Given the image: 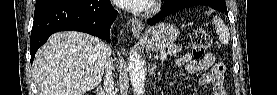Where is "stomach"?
Listing matches in <instances>:
<instances>
[{
	"label": "stomach",
	"mask_w": 277,
	"mask_h": 95,
	"mask_svg": "<svg viewBox=\"0 0 277 95\" xmlns=\"http://www.w3.org/2000/svg\"><path fill=\"white\" fill-rule=\"evenodd\" d=\"M177 37L176 27L168 23H160L146 32L144 41L148 50L156 52L168 48Z\"/></svg>",
	"instance_id": "0dacf381"
}]
</instances>
